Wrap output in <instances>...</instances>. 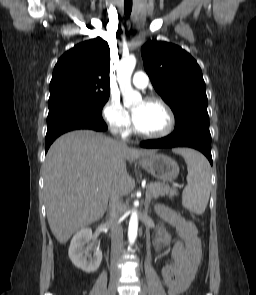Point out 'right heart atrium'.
<instances>
[{
  "mask_svg": "<svg viewBox=\"0 0 256 295\" xmlns=\"http://www.w3.org/2000/svg\"><path fill=\"white\" fill-rule=\"evenodd\" d=\"M102 116L112 131L126 135L130 131L131 121L127 110L117 98H110L102 109Z\"/></svg>",
  "mask_w": 256,
  "mask_h": 295,
  "instance_id": "d8ad5b80",
  "label": "right heart atrium"
}]
</instances>
